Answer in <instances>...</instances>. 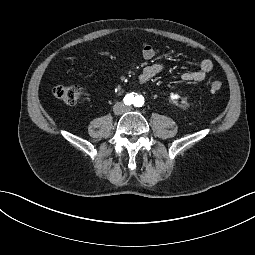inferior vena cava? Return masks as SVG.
Listing matches in <instances>:
<instances>
[{
  "label": "inferior vena cava",
  "mask_w": 255,
  "mask_h": 255,
  "mask_svg": "<svg viewBox=\"0 0 255 255\" xmlns=\"http://www.w3.org/2000/svg\"><path fill=\"white\" fill-rule=\"evenodd\" d=\"M127 107L122 103L118 102L114 105V112L116 114H122L126 111Z\"/></svg>",
  "instance_id": "602c4592"
}]
</instances>
